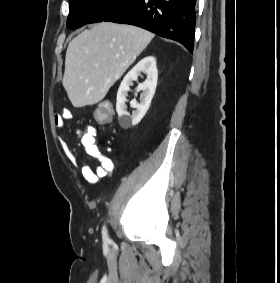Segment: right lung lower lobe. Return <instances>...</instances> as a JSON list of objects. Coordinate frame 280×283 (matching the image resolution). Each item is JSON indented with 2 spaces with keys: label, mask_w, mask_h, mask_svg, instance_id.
<instances>
[{
  "label": "right lung lower lobe",
  "mask_w": 280,
  "mask_h": 283,
  "mask_svg": "<svg viewBox=\"0 0 280 283\" xmlns=\"http://www.w3.org/2000/svg\"><path fill=\"white\" fill-rule=\"evenodd\" d=\"M196 0H132L104 21L135 25L193 52Z\"/></svg>",
  "instance_id": "right-lung-lower-lobe-1"
}]
</instances>
